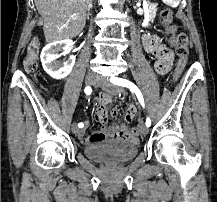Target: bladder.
I'll use <instances>...</instances> for the list:
<instances>
[{
	"mask_svg": "<svg viewBox=\"0 0 217 202\" xmlns=\"http://www.w3.org/2000/svg\"><path fill=\"white\" fill-rule=\"evenodd\" d=\"M138 144L131 141H104L85 146L88 158L108 161L109 163H123L137 156Z\"/></svg>",
	"mask_w": 217,
	"mask_h": 202,
	"instance_id": "1",
	"label": "bladder"
}]
</instances>
